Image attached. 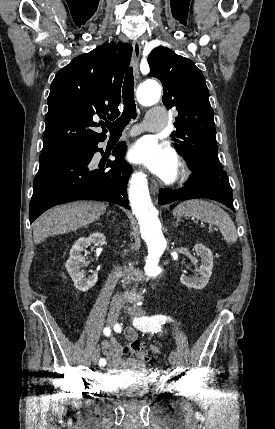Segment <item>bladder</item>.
Segmentation results:
<instances>
[{
  "mask_svg": "<svg viewBox=\"0 0 275 429\" xmlns=\"http://www.w3.org/2000/svg\"><path fill=\"white\" fill-rule=\"evenodd\" d=\"M110 398H127L134 403L136 398H149L150 393H158V384H148L144 377L108 378Z\"/></svg>",
  "mask_w": 275,
  "mask_h": 429,
  "instance_id": "1",
  "label": "bladder"
}]
</instances>
